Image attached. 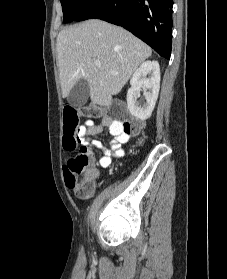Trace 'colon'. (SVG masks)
<instances>
[{"mask_svg":"<svg viewBox=\"0 0 227 279\" xmlns=\"http://www.w3.org/2000/svg\"><path fill=\"white\" fill-rule=\"evenodd\" d=\"M115 122L114 127L119 126L126 132L139 133L141 131V122L139 120H128L129 111L124 103L116 102L113 105ZM100 113L97 106L65 108V120L63 127V143L67 151H74L76 146L83 144L85 138V123L82 119H96ZM91 163V158L86 147L81 148L73 154L67 161L65 170L68 172V183L75 195L83 199L91 194L95 189L92 181L83 178L84 169Z\"/></svg>","mask_w":227,"mask_h":279,"instance_id":"colon-1","label":"colon"}]
</instances>
